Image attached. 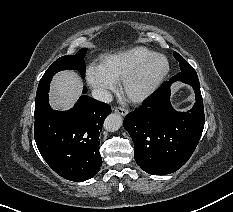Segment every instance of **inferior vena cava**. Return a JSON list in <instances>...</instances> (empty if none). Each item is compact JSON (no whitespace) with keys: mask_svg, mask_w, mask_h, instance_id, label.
<instances>
[{"mask_svg":"<svg viewBox=\"0 0 233 212\" xmlns=\"http://www.w3.org/2000/svg\"><path fill=\"white\" fill-rule=\"evenodd\" d=\"M92 97L98 101L110 103L112 101L111 93L103 88H96L92 90Z\"/></svg>","mask_w":233,"mask_h":212,"instance_id":"obj_1","label":"inferior vena cava"}]
</instances>
